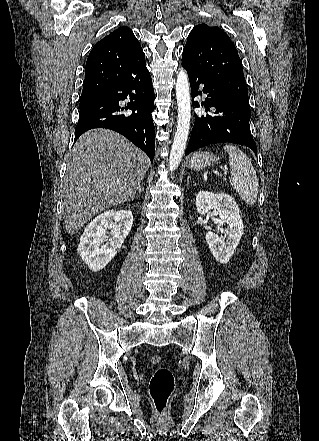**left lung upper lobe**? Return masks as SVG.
I'll list each match as a JSON object with an SVG mask.
<instances>
[{
  "mask_svg": "<svg viewBox=\"0 0 319 441\" xmlns=\"http://www.w3.org/2000/svg\"><path fill=\"white\" fill-rule=\"evenodd\" d=\"M182 56L185 67L217 81L249 105L240 57L222 29L206 24L195 26L188 35Z\"/></svg>",
  "mask_w": 319,
  "mask_h": 441,
  "instance_id": "obj_1",
  "label": "left lung upper lobe"
}]
</instances>
